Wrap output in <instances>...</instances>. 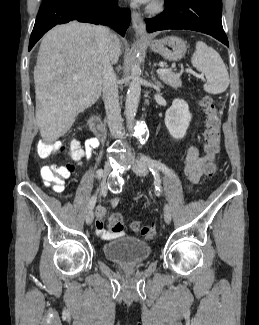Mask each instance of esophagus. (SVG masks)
<instances>
[{
	"label": "esophagus",
	"mask_w": 259,
	"mask_h": 325,
	"mask_svg": "<svg viewBox=\"0 0 259 325\" xmlns=\"http://www.w3.org/2000/svg\"><path fill=\"white\" fill-rule=\"evenodd\" d=\"M132 25L133 28L140 34L141 37L143 38L149 37L146 33L144 21L141 15L136 11L132 12Z\"/></svg>",
	"instance_id": "34e87169"
}]
</instances>
